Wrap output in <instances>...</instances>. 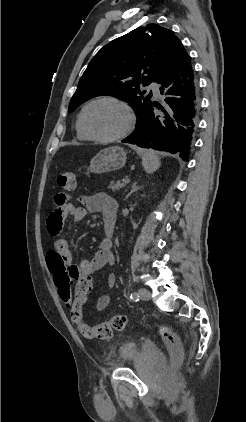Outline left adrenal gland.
Masks as SVG:
<instances>
[{
	"mask_svg": "<svg viewBox=\"0 0 246 422\" xmlns=\"http://www.w3.org/2000/svg\"><path fill=\"white\" fill-rule=\"evenodd\" d=\"M143 186H138L137 182L133 183L130 192L126 195L125 200L135 191L140 190Z\"/></svg>",
	"mask_w": 246,
	"mask_h": 422,
	"instance_id": "obj_1",
	"label": "left adrenal gland"
}]
</instances>
